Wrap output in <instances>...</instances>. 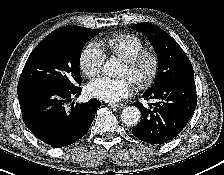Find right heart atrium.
Masks as SVG:
<instances>
[{
    "mask_svg": "<svg viewBox=\"0 0 224 175\" xmlns=\"http://www.w3.org/2000/svg\"><path fill=\"white\" fill-rule=\"evenodd\" d=\"M105 60L103 50L96 43L87 44L82 50L79 64L82 72L90 77L100 74Z\"/></svg>",
    "mask_w": 224,
    "mask_h": 175,
    "instance_id": "obj_1",
    "label": "right heart atrium"
}]
</instances>
